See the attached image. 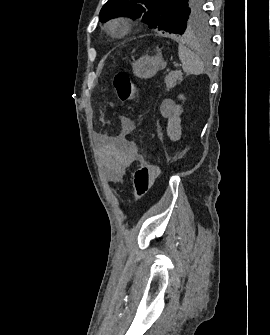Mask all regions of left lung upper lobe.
<instances>
[{"instance_id":"left-lung-upper-lobe-1","label":"left lung upper lobe","mask_w":270,"mask_h":335,"mask_svg":"<svg viewBox=\"0 0 270 335\" xmlns=\"http://www.w3.org/2000/svg\"><path fill=\"white\" fill-rule=\"evenodd\" d=\"M202 0H108L100 21L116 16L140 18L150 27L176 35H190L207 29Z\"/></svg>"}]
</instances>
